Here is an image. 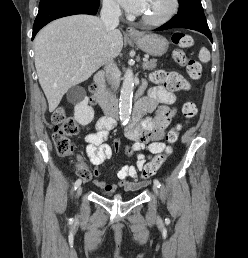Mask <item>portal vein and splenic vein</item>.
<instances>
[{
  "mask_svg": "<svg viewBox=\"0 0 248 258\" xmlns=\"http://www.w3.org/2000/svg\"><path fill=\"white\" fill-rule=\"evenodd\" d=\"M80 59H81L82 62H84L85 59H86V56H82V57H80ZM147 61H148V58H147V57H144V58H143V62H147Z\"/></svg>",
  "mask_w": 248,
  "mask_h": 258,
  "instance_id": "portal-vein-and-splenic-vein-1",
  "label": "portal vein and splenic vein"
}]
</instances>
